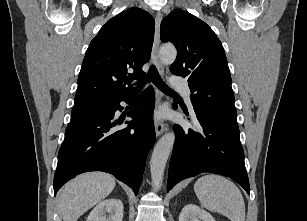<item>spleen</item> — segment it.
<instances>
[{
    "mask_svg": "<svg viewBox=\"0 0 307 221\" xmlns=\"http://www.w3.org/2000/svg\"><path fill=\"white\" fill-rule=\"evenodd\" d=\"M194 191L201 205L220 213L231 221H245V203L238 187L227 178L216 174L200 177Z\"/></svg>",
    "mask_w": 307,
    "mask_h": 221,
    "instance_id": "1",
    "label": "spleen"
}]
</instances>
